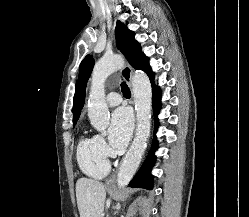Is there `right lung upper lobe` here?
Returning a JSON list of instances; mask_svg holds the SVG:
<instances>
[{
	"mask_svg": "<svg viewBox=\"0 0 249 217\" xmlns=\"http://www.w3.org/2000/svg\"><path fill=\"white\" fill-rule=\"evenodd\" d=\"M84 101H83V95L81 93L80 86L78 85V82L76 83V89H75V95H74V103H73V124H76L81 108L83 107Z\"/></svg>",
	"mask_w": 249,
	"mask_h": 217,
	"instance_id": "right-lung-upper-lobe-1",
	"label": "right lung upper lobe"
}]
</instances>
